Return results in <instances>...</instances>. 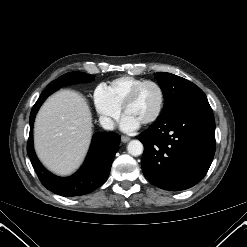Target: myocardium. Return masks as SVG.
<instances>
[{
    "label": "myocardium",
    "instance_id": "myocardium-1",
    "mask_svg": "<svg viewBox=\"0 0 247 247\" xmlns=\"http://www.w3.org/2000/svg\"><path fill=\"white\" fill-rule=\"evenodd\" d=\"M147 85H153L157 88L160 99H159V105H158L156 112L150 118H148L147 120L143 122L144 125H149L157 121L164 110L165 91L160 83L153 81V80H144L143 82L139 83L132 89V91L129 93V95L127 96V98L125 99L122 105V110L124 113H126L127 108L136 100L140 91Z\"/></svg>",
    "mask_w": 247,
    "mask_h": 247
}]
</instances>
